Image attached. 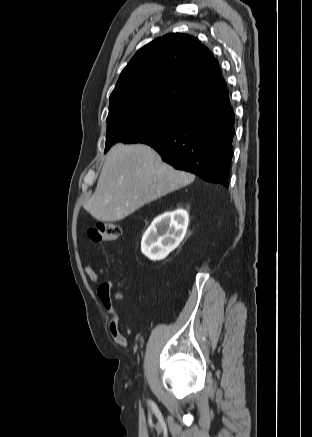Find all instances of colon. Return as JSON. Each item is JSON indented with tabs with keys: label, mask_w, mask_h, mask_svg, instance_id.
Masks as SVG:
<instances>
[{
	"label": "colon",
	"mask_w": 312,
	"mask_h": 437,
	"mask_svg": "<svg viewBox=\"0 0 312 437\" xmlns=\"http://www.w3.org/2000/svg\"><path fill=\"white\" fill-rule=\"evenodd\" d=\"M88 235L94 241L112 242L120 237L121 228L112 222L98 221L95 227L88 231Z\"/></svg>",
	"instance_id": "5ec220e1"
}]
</instances>
